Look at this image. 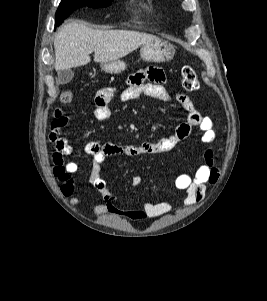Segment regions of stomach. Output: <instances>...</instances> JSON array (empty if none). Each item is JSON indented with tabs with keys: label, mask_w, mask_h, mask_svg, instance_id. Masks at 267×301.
<instances>
[{
	"label": "stomach",
	"mask_w": 267,
	"mask_h": 301,
	"mask_svg": "<svg viewBox=\"0 0 267 301\" xmlns=\"http://www.w3.org/2000/svg\"><path fill=\"white\" fill-rule=\"evenodd\" d=\"M175 54V47L166 40L156 39L142 45L140 50L141 58L146 62H168ZM101 69L105 73L119 74L126 69V63L121 60L110 61L101 64Z\"/></svg>",
	"instance_id": "1"
}]
</instances>
